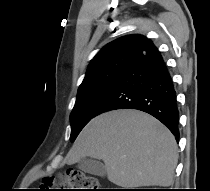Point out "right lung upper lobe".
Returning <instances> with one entry per match:
<instances>
[{
    "label": "right lung upper lobe",
    "mask_w": 210,
    "mask_h": 191,
    "mask_svg": "<svg viewBox=\"0 0 210 191\" xmlns=\"http://www.w3.org/2000/svg\"><path fill=\"white\" fill-rule=\"evenodd\" d=\"M148 39L142 35H127L114 40L102 48L96 56L92 59L86 76L99 66L117 57H132L134 53L147 41ZM85 76V77H86Z\"/></svg>",
    "instance_id": "cb5924a9"
}]
</instances>
